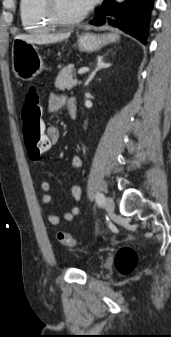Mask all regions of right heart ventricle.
<instances>
[{"mask_svg": "<svg viewBox=\"0 0 171 337\" xmlns=\"http://www.w3.org/2000/svg\"><path fill=\"white\" fill-rule=\"evenodd\" d=\"M19 10L22 25L28 31L47 30L55 25L46 14L44 0H20Z\"/></svg>", "mask_w": 171, "mask_h": 337, "instance_id": "right-heart-ventricle-1", "label": "right heart ventricle"}]
</instances>
